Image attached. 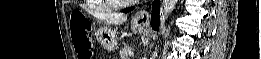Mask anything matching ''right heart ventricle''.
I'll return each instance as SVG.
<instances>
[{
	"instance_id": "right-heart-ventricle-1",
	"label": "right heart ventricle",
	"mask_w": 261,
	"mask_h": 59,
	"mask_svg": "<svg viewBox=\"0 0 261 59\" xmlns=\"http://www.w3.org/2000/svg\"><path fill=\"white\" fill-rule=\"evenodd\" d=\"M99 3H101L102 1H98ZM108 8L110 9V8H112L111 6H108Z\"/></svg>"
}]
</instances>
